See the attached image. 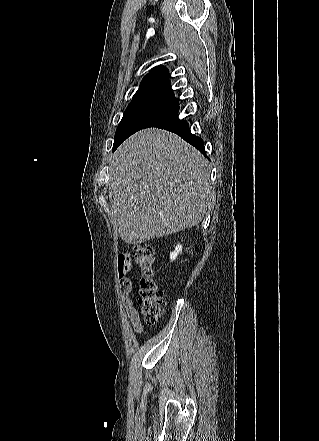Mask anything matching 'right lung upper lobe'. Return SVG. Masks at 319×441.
Wrapping results in <instances>:
<instances>
[{
    "label": "right lung upper lobe",
    "mask_w": 319,
    "mask_h": 441,
    "mask_svg": "<svg viewBox=\"0 0 319 441\" xmlns=\"http://www.w3.org/2000/svg\"><path fill=\"white\" fill-rule=\"evenodd\" d=\"M134 99H155L178 104L170 87L168 71L165 67H156L143 79Z\"/></svg>",
    "instance_id": "cb5924a9"
}]
</instances>
